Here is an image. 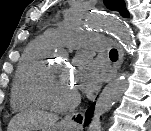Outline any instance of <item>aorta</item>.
<instances>
[{
    "mask_svg": "<svg viewBox=\"0 0 151 131\" xmlns=\"http://www.w3.org/2000/svg\"><path fill=\"white\" fill-rule=\"evenodd\" d=\"M70 18L71 15L68 16V20H70ZM83 23L90 28L102 29L117 36L126 51L129 54H133L134 42L132 33L122 20L113 16L97 14L87 15ZM127 76V73H123L103 89L101 95L96 101L92 121L88 127L89 131L102 130L101 117L125 92L128 87Z\"/></svg>",
    "mask_w": 151,
    "mask_h": 131,
    "instance_id": "1",
    "label": "aorta"
}]
</instances>
